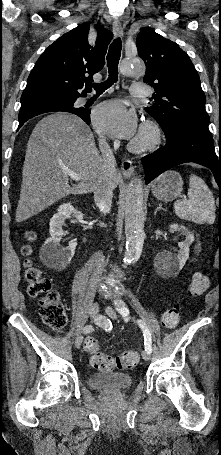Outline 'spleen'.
<instances>
[{
  "instance_id": "3e777b00",
  "label": "spleen",
  "mask_w": 221,
  "mask_h": 455,
  "mask_svg": "<svg viewBox=\"0 0 221 455\" xmlns=\"http://www.w3.org/2000/svg\"><path fill=\"white\" fill-rule=\"evenodd\" d=\"M188 200L174 203L175 214L196 224H212L215 221V200L206 183L197 175H190Z\"/></svg>"
}]
</instances>
